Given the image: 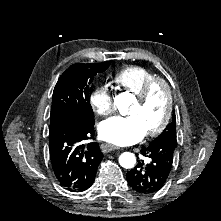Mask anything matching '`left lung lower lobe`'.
Listing matches in <instances>:
<instances>
[{
    "label": "left lung lower lobe",
    "mask_w": 221,
    "mask_h": 221,
    "mask_svg": "<svg viewBox=\"0 0 221 221\" xmlns=\"http://www.w3.org/2000/svg\"><path fill=\"white\" fill-rule=\"evenodd\" d=\"M177 143L170 139L151 142L141 149L143 156L150 162L139 160L134 169L127 173L130 187L140 194H152L159 191L166 183L173 164Z\"/></svg>",
    "instance_id": "1"
}]
</instances>
